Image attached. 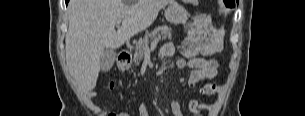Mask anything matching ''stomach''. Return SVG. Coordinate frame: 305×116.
<instances>
[{"label": "stomach", "mask_w": 305, "mask_h": 116, "mask_svg": "<svg viewBox=\"0 0 305 116\" xmlns=\"http://www.w3.org/2000/svg\"><path fill=\"white\" fill-rule=\"evenodd\" d=\"M165 18L175 25L184 24L188 19V13L183 6L173 2L165 10Z\"/></svg>", "instance_id": "0dacf381"}]
</instances>
